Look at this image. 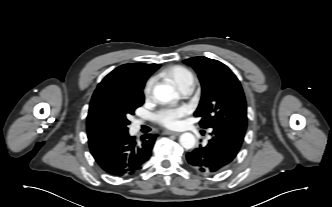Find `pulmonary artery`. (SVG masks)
Instances as JSON below:
<instances>
[{"label":"pulmonary artery","mask_w":332,"mask_h":207,"mask_svg":"<svg viewBox=\"0 0 332 207\" xmlns=\"http://www.w3.org/2000/svg\"><path fill=\"white\" fill-rule=\"evenodd\" d=\"M181 91H182L184 94H188V93H190V92H191V85L186 86V87L183 88Z\"/></svg>","instance_id":"1"}]
</instances>
